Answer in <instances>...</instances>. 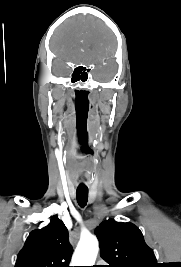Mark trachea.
<instances>
[{
    "mask_svg": "<svg viewBox=\"0 0 181 267\" xmlns=\"http://www.w3.org/2000/svg\"><path fill=\"white\" fill-rule=\"evenodd\" d=\"M77 202L81 207H85L88 201V188L78 187L76 190Z\"/></svg>",
    "mask_w": 181,
    "mask_h": 267,
    "instance_id": "3493384b",
    "label": "trachea"
}]
</instances>
